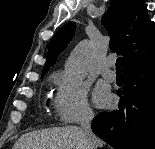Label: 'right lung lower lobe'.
I'll return each instance as SVG.
<instances>
[{
    "label": "right lung lower lobe",
    "mask_w": 155,
    "mask_h": 149,
    "mask_svg": "<svg viewBox=\"0 0 155 149\" xmlns=\"http://www.w3.org/2000/svg\"><path fill=\"white\" fill-rule=\"evenodd\" d=\"M123 73L119 109L97 115L92 131L115 149H155V60Z\"/></svg>",
    "instance_id": "1"
}]
</instances>
